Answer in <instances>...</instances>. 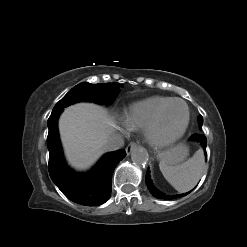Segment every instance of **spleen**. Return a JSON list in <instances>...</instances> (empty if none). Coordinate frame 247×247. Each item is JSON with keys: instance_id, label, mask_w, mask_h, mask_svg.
<instances>
[{"instance_id": "1", "label": "spleen", "mask_w": 247, "mask_h": 247, "mask_svg": "<svg viewBox=\"0 0 247 247\" xmlns=\"http://www.w3.org/2000/svg\"><path fill=\"white\" fill-rule=\"evenodd\" d=\"M159 167L164 178L178 192L189 191L198 183L204 172L203 152L202 150L196 151L186 162L176 166L169 164L167 158H162Z\"/></svg>"}]
</instances>
